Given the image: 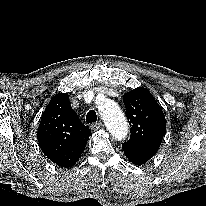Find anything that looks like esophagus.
Masks as SVG:
<instances>
[{
    "mask_svg": "<svg viewBox=\"0 0 206 206\" xmlns=\"http://www.w3.org/2000/svg\"><path fill=\"white\" fill-rule=\"evenodd\" d=\"M102 125H103L102 122L99 121V122H96V123L91 124L90 128H91L92 131H96V130H98L99 128H101Z\"/></svg>",
    "mask_w": 206,
    "mask_h": 206,
    "instance_id": "34e87169",
    "label": "esophagus"
}]
</instances>
